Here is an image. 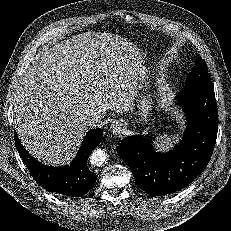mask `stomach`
I'll list each match as a JSON object with an SVG mask.
<instances>
[{"label":"stomach","mask_w":231,"mask_h":231,"mask_svg":"<svg viewBox=\"0 0 231 231\" xmlns=\"http://www.w3.org/2000/svg\"><path fill=\"white\" fill-rule=\"evenodd\" d=\"M137 122L141 124H146L150 117L151 112L154 107V101L150 94V73L145 67H140L137 77Z\"/></svg>","instance_id":"stomach-1"}]
</instances>
